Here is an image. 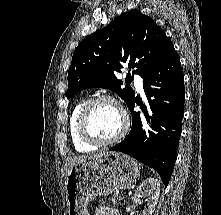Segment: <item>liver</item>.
Masks as SVG:
<instances>
[{
    "mask_svg": "<svg viewBox=\"0 0 221 215\" xmlns=\"http://www.w3.org/2000/svg\"><path fill=\"white\" fill-rule=\"evenodd\" d=\"M101 154H103V153L92 154V155H88V156H79V157L75 156V157L67 158L66 161H65V165H64V181L66 182V178H67L71 168L75 164H77V163H79V162H81L83 160H86V159L96 158V157L100 156Z\"/></svg>",
    "mask_w": 221,
    "mask_h": 215,
    "instance_id": "obj_1",
    "label": "liver"
}]
</instances>
